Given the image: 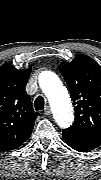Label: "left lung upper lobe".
I'll list each match as a JSON object with an SVG mask.
<instances>
[{
    "instance_id": "left-lung-upper-lobe-1",
    "label": "left lung upper lobe",
    "mask_w": 101,
    "mask_h": 180,
    "mask_svg": "<svg viewBox=\"0 0 101 180\" xmlns=\"http://www.w3.org/2000/svg\"><path fill=\"white\" fill-rule=\"evenodd\" d=\"M60 72L68 84L75 105V120L65 129L101 141V67L89 56L79 54L61 63Z\"/></svg>"
}]
</instances>
